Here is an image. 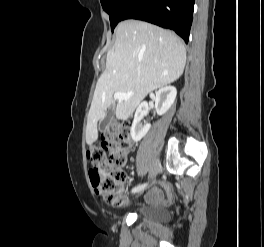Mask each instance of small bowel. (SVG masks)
Listing matches in <instances>:
<instances>
[{
	"instance_id": "c3829d8e",
	"label": "small bowel",
	"mask_w": 264,
	"mask_h": 247,
	"mask_svg": "<svg viewBox=\"0 0 264 247\" xmlns=\"http://www.w3.org/2000/svg\"><path fill=\"white\" fill-rule=\"evenodd\" d=\"M146 199L148 202L151 203H156V202L168 203L171 200V193L169 191L164 192L159 187H154L148 192Z\"/></svg>"
}]
</instances>
